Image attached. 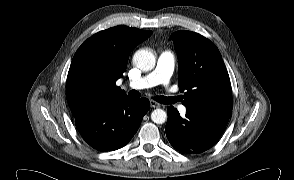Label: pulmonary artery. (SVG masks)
<instances>
[{"label": "pulmonary artery", "mask_w": 294, "mask_h": 180, "mask_svg": "<svg viewBox=\"0 0 294 180\" xmlns=\"http://www.w3.org/2000/svg\"><path fill=\"white\" fill-rule=\"evenodd\" d=\"M174 69V58L170 51H164L160 54L156 68L147 75L133 81L130 86L134 89H144L159 84H168ZM178 110L185 114L186 107L180 105Z\"/></svg>", "instance_id": "obj_1"}]
</instances>
